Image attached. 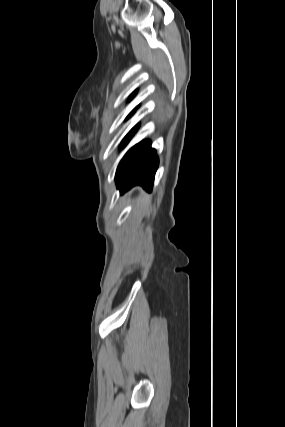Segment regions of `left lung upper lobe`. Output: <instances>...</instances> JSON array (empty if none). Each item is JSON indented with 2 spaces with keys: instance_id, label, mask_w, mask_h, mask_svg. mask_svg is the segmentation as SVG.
Masks as SVG:
<instances>
[{
  "instance_id": "obj_1",
  "label": "left lung upper lobe",
  "mask_w": 285,
  "mask_h": 427,
  "mask_svg": "<svg viewBox=\"0 0 285 427\" xmlns=\"http://www.w3.org/2000/svg\"><path fill=\"white\" fill-rule=\"evenodd\" d=\"M134 94L135 93H133L132 95H131V98L134 96ZM134 111H135V109L128 115V117L127 118H129L133 113H134Z\"/></svg>"
}]
</instances>
